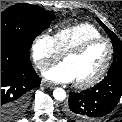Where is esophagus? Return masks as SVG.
I'll return each instance as SVG.
<instances>
[{
  "mask_svg": "<svg viewBox=\"0 0 122 122\" xmlns=\"http://www.w3.org/2000/svg\"><path fill=\"white\" fill-rule=\"evenodd\" d=\"M42 86L47 87V88H54V85L49 82H42Z\"/></svg>",
  "mask_w": 122,
  "mask_h": 122,
  "instance_id": "34e87169",
  "label": "esophagus"
}]
</instances>
